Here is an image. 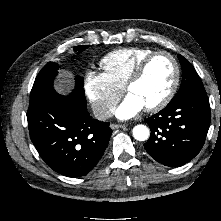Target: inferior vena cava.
<instances>
[{"label": "inferior vena cava", "mask_w": 221, "mask_h": 221, "mask_svg": "<svg viewBox=\"0 0 221 221\" xmlns=\"http://www.w3.org/2000/svg\"><path fill=\"white\" fill-rule=\"evenodd\" d=\"M93 114L96 119L100 121L106 120L108 117H110V112L106 105L104 104H95L92 107Z\"/></svg>", "instance_id": "1"}]
</instances>
